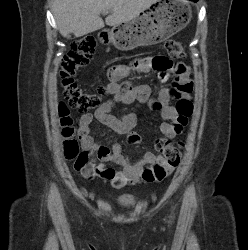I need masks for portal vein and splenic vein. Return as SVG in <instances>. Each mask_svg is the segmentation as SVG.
Masks as SVG:
<instances>
[{"mask_svg":"<svg viewBox=\"0 0 248 250\" xmlns=\"http://www.w3.org/2000/svg\"><path fill=\"white\" fill-rule=\"evenodd\" d=\"M103 14H108V11H104Z\"/></svg>","mask_w":248,"mask_h":250,"instance_id":"portal-vein-and-splenic-vein-1","label":"portal vein and splenic vein"}]
</instances>
